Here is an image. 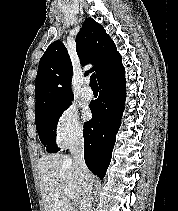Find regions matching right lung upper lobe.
Returning <instances> with one entry per match:
<instances>
[{"mask_svg":"<svg viewBox=\"0 0 178 211\" xmlns=\"http://www.w3.org/2000/svg\"><path fill=\"white\" fill-rule=\"evenodd\" d=\"M81 64L92 63L98 83L124 69L121 55L103 26L87 18L76 38ZM88 72V71H87ZM72 63L64 44L53 42L40 59L35 86V114L44 108L73 99Z\"/></svg>","mask_w":178,"mask_h":211,"instance_id":"obj_1","label":"right lung upper lobe"}]
</instances>
